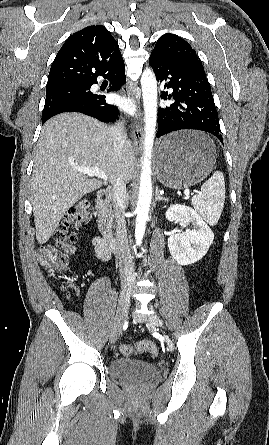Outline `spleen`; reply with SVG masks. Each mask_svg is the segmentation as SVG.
<instances>
[{
    "instance_id": "3e777b00",
    "label": "spleen",
    "mask_w": 269,
    "mask_h": 445,
    "mask_svg": "<svg viewBox=\"0 0 269 445\" xmlns=\"http://www.w3.org/2000/svg\"><path fill=\"white\" fill-rule=\"evenodd\" d=\"M225 202V181L222 172L214 174L201 186V192L192 198V205L211 226L217 224Z\"/></svg>"
}]
</instances>
